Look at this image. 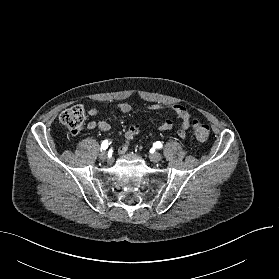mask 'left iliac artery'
I'll list each match as a JSON object with an SVG mask.
<instances>
[{
    "label": "left iliac artery",
    "instance_id": "obj_1",
    "mask_svg": "<svg viewBox=\"0 0 279 279\" xmlns=\"http://www.w3.org/2000/svg\"><path fill=\"white\" fill-rule=\"evenodd\" d=\"M153 146L155 147V148H162V143L160 142V141H157V142H155L154 144H153Z\"/></svg>",
    "mask_w": 279,
    "mask_h": 279
}]
</instances>
